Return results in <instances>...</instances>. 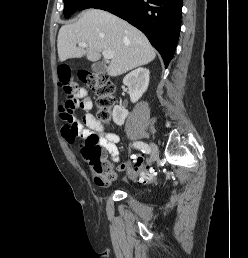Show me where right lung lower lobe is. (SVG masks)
Instances as JSON below:
<instances>
[{
	"label": "right lung lower lobe",
	"mask_w": 248,
	"mask_h": 258,
	"mask_svg": "<svg viewBox=\"0 0 248 258\" xmlns=\"http://www.w3.org/2000/svg\"><path fill=\"white\" fill-rule=\"evenodd\" d=\"M94 8L140 29L161 54L165 67L169 65L179 38L182 0H108Z\"/></svg>",
	"instance_id": "1"
}]
</instances>
